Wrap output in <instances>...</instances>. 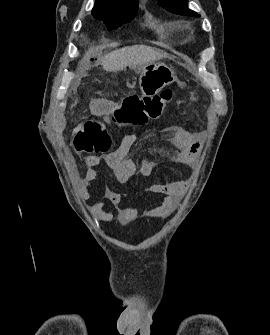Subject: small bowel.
<instances>
[{"label": "small bowel", "mask_w": 270, "mask_h": 335, "mask_svg": "<svg viewBox=\"0 0 270 335\" xmlns=\"http://www.w3.org/2000/svg\"><path fill=\"white\" fill-rule=\"evenodd\" d=\"M100 114L113 115V103L109 100H99L97 102ZM171 136L169 144L177 150L171 160L175 163L194 166L196 164V156L200 150L201 143L196 134L186 129L173 125L170 127ZM135 142V136L132 133H125L122 136L119 147L103 156H90L83 161L84 173L81 178V196L87 197V188L91 182L96 180V167L105 161L112 170L116 180L119 183H126L131 180L137 173L141 176H149L157 166V161L143 160L139 168L136 167L134 161L128 157V153ZM68 162L67 160L65 161ZM71 166L70 164L68 165ZM189 182L187 180H171L165 183H153L148 187V191L163 196L162 200L149 208L146 212L151 218L168 217L176 207L177 203L184 196L188 189ZM122 195L111 188L104 191V201L95 203L89 207L90 214L102 222H109L117 214L122 224H126L135 211L134 207L121 206Z\"/></svg>", "instance_id": "obj_1"}]
</instances>
